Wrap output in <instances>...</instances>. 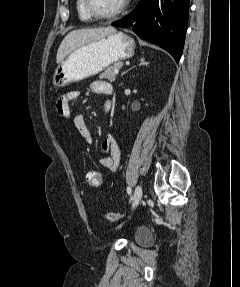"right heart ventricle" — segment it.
<instances>
[{
    "label": "right heart ventricle",
    "mask_w": 240,
    "mask_h": 287,
    "mask_svg": "<svg viewBox=\"0 0 240 287\" xmlns=\"http://www.w3.org/2000/svg\"><path fill=\"white\" fill-rule=\"evenodd\" d=\"M75 7L78 17L81 21L88 22L93 20V17L89 15V13L86 10L85 0H76Z\"/></svg>",
    "instance_id": "obj_1"
}]
</instances>
